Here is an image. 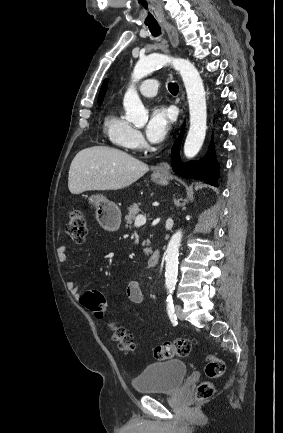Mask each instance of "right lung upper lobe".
Instances as JSON below:
<instances>
[{
  "mask_svg": "<svg viewBox=\"0 0 283 433\" xmlns=\"http://www.w3.org/2000/svg\"><path fill=\"white\" fill-rule=\"evenodd\" d=\"M106 88H107V81L105 80L101 86V90L99 93V98H98V104L99 105H101V103L103 101L104 95L106 93Z\"/></svg>",
  "mask_w": 283,
  "mask_h": 433,
  "instance_id": "obj_1",
  "label": "right lung upper lobe"
}]
</instances>
